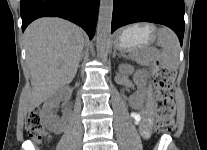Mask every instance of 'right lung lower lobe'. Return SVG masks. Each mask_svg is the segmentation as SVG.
<instances>
[{
  "label": "right lung lower lobe",
  "instance_id": "1",
  "mask_svg": "<svg viewBox=\"0 0 207 150\" xmlns=\"http://www.w3.org/2000/svg\"><path fill=\"white\" fill-rule=\"evenodd\" d=\"M99 0H21L22 31L40 17H61L95 34Z\"/></svg>",
  "mask_w": 207,
  "mask_h": 150
}]
</instances>
